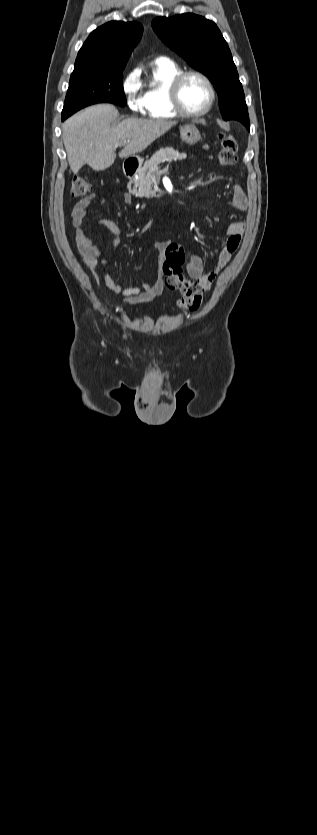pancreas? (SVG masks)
<instances>
[{
    "mask_svg": "<svg viewBox=\"0 0 317 835\" xmlns=\"http://www.w3.org/2000/svg\"><path fill=\"white\" fill-rule=\"evenodd\" d=\"M186 157L187 154L179 153L171 147L160 149L158 152L153 154L150 160L145 162L143 167L139 169L138 175L133 181V189H131L132 182L129 183V193L134 194L137 197H159V195H156V192L152 190V178L158 174V171L154 168L162 162L167 161L170 163L177 160H183Z\"/></svg>",
    "mask_w": 317,
    "mask_h": 835,
    "instance_id": "obj_1",
    "label": "pancreas"
}]
</instances>
